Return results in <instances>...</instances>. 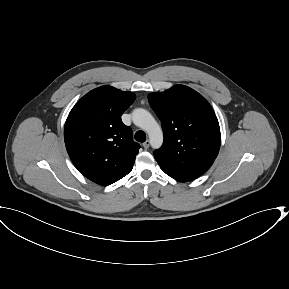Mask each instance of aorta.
Here are the masks:
<instances>
[{"instance_id":"762f6f07","label":"aorta","mask_w":289,"mask_h":289,"mask_svg":"<svg viewBox=\"0 0 289 289\" xmlns=\"http://www.w3.org/2000/svg\"><path fill=\"white\" fill-rule=\"evenodd\" d=\"M133 123L145 130L149 135L150 144L154 149L163 143V131L154 117L145 109L137 108L132 113Z\"/></svg>"}]
</instances>
